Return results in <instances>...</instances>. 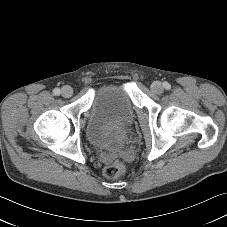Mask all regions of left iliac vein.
I'll return each instance as SVG.
<instances>
[{
  "label": "left iliac vein",
  "mask_w": 227,
  "mask_h": 227,
  "mask_svg": "<svg viewBox=\"0 0 227 227\" xmlns=\"http://www.w3.org/2000/svg\"><path fill=\"white\" fill-rule=\"evenodd\" d=\"M151 90L152 92H154L155 94H161L164 90L162 83L159 81H155L151 84Z\"/></svg>",
  "instance_id": "4c4485c4"
}]
</instances>
